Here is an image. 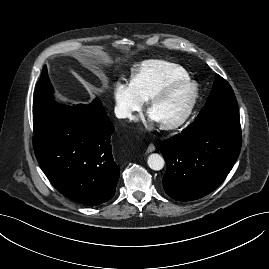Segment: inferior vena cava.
Returning <instances> with one entry per match:
<instances>
[{"instance_id":"obj_1","label":"inferior vena cava","mask_w":269,"mask_h":269,"mask_svg":"<svg viewBox=\"0 0 269 269\" xmlns=\"http://www.w3.org/2000/svg\"><path fill=\"white\" fill-rule=\"evenodd\" d=\"M130 114L129 113H125V112H120L118 113L117 117L119 118H125V117H129Z\"/></svg>"}]
</instances>
